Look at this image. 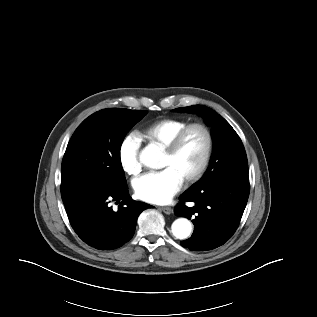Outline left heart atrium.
Wrapping results in <instances>:
<instances>
[{
  "label": "left heart atrium",
  "instance_id": "1",
  "mask_svg": "<svg viewBox=\"0 0 317 317\" xmlns=\"http://www.w3.org/2000/svg\"><path fill=\"white\" fill-rule=\"evenodd\" d=\"M183 183L181 176L173 168L160 172L148 173L134 182L136 196L146 202L165 204L180 190Z\"/></svg>",
  "mask_w": 317,
  "mask_h": 317
}]
</instances>
